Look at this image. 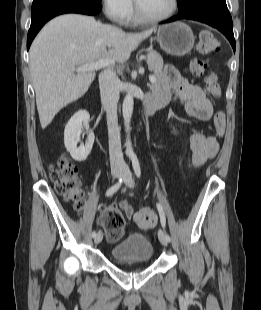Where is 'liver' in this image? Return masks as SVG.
<instances>
[{"instance_id":"liver-1","label":"liver","mask_w":261,"mask_h":310,"mask_svg":"<svg viewBox=\"0 0 261 310\" xmlns=\"http://www.w3.org/2000/svg\"><path fill=\"white\" fill-rule=\"evenodd\" d=\"M153 31L126 33L80 14L60 15L48 22L29 51L42 129L62 108L81 98L94 81L95 70L76 73V67L99 59L124 63Z\"/></svg>"}]
</instances>
